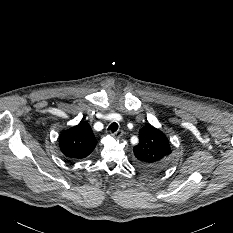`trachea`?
Returning <instances> with one entry per match:
<instances>
[{
	"instance_id": "1",
	"label": "trachea",
	"mask_w": 233,
	"mask_h": 233,
	"mask_svg": "<svg viewBox=\"0 0 233 233\" xmlns=\"http://www.w3.org/2000/svg\"><path fill=\"white\" fill-rule=\"evenodd\" d=\"M118 129V124L116 122H113L109 127L108 130H110L112 133L116 132Z\"/></svg>"
}]
</instances>
